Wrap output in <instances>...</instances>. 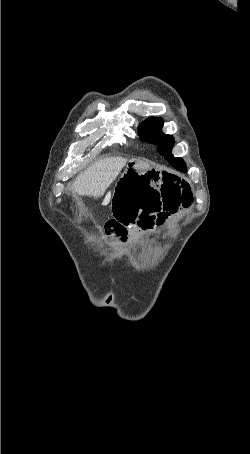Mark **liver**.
Wrapping results in <instances>:
<instances>
[{
    "mask_svg": "<svg viewBox=\"0 0 250 454\" xmlns=\"http://www.w3.org/2000/svg\"><path fill=\"white\" fill-rule=\"evenodd\" d=\"M126 163L127 159L123 157H109L96 161L76 178L72 186L73 193L95 198L103 196Z\"/></svg>",
    "mask_w": 250,
    "mask_h": 454,
    "instance_id": "obj_1",
    "label": "liver"
}]
</instances>
